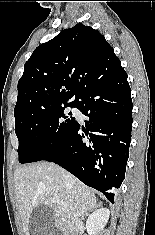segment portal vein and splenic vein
I'll list each match as a JSON object with an SVG mask.
<instances>
[{
    "label": "portal vein and splenic vein",
    "instance_id": "portal-vein-and-splenic-vein-1",
    "mask_svg": "<svg viewBox=\"0 0 155 235\" xmlns=\"http://www.w3.org/2000/svg\"><path fill=\"white\" fill-rule=\"evenodd\" d=\"M53 199H54V201L59 202V197L55 196Z\"/></svg>",
    "mask_w": 155,
    "mask_h": 235
}]
</instances>
